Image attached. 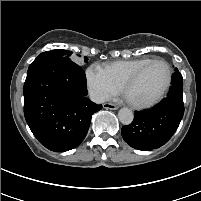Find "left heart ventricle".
<instances>
[{"mask_svg": "<svg viewBox=\"0 0 201 201\" xmlns=\"http://www.w3.org/2000/svg\"><path fill=\"white\" fill-rule=\"evenodd\" d=\"M167 67L160 62L151 64L129 87L127 96L138 102H145L156 97L166 84Z\"/></svg>", "mask_w": 201, "mask_h": 201, "instance_id": "1", "label": "left heart ventricle"}]
</instances>
